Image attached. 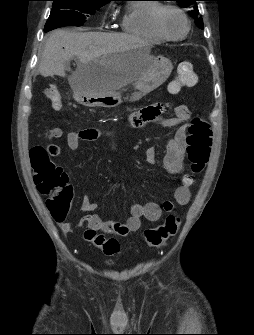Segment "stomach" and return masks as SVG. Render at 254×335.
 Masks as SVG:
<instances>
[{
    "instance_id": "stomach-1",
    "label": "stomach",
    "mask_w": 254,
    "mask_h": 335,
    "mask_svg": "<svg viewBox=\"0 0 254 335\" xmlns=\"http://www.w3.org/2000/svg\"><path fill=\"white\" fill-rule=\"evenodd\" d=\"M148 59L149 69L132 81L134 91L127 100L135 102L162 85L171 74L173 65L168 58L152 56L148 47L139 46L127 51L90 62L87 68L94 73L117 65L131 64ZM74 99L86 107L114 108L123 102L121 91L105 92L92 83L78 85L74 90Z\"/></svg>"
}]
</instances>
